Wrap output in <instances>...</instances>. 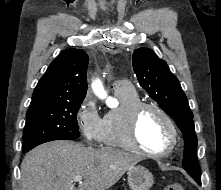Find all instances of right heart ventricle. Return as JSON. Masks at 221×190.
I'll use <instances>...</instances> for the list:
<instances>
[{
  "label": "right heart ventricle",
  "instance_id": "right-heart-ventricle-1",
  "mask_svg": "<svg viewBox=\"0 0 221 190\" xmlns=\"http://www.w3.org/2000/svg\"><path fill=\"white\" fill-rule=\"evenodd\" d=\"M114 94L119 105L110 109L102 118L101 143L105 148L133 151L126 139V118L129 109L142 101L141 97L130 84L114 86Z\"/></svg>",
  "mask_w": 221,
  "mask_h": 190
}]
</instances>
